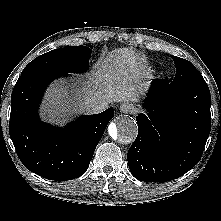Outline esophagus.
<instances>
[{
	"instance_id": "esophagus-1",
	"label": "esophagus",
	"mask_w": 221,
	"mask_h": 221,
	"mask_svg": "<svg viewBox=\"0 0 221 221\" xmlns=\"http://www.w3.org/2000/svg\"><path fill=\"white\" fill-rule=\"evenodd\" d=\"M120 112L122 113H130L134 110V106L130 103H122L119 107Z\"/></svg>"
}]
</instances>
